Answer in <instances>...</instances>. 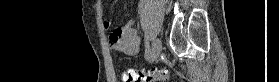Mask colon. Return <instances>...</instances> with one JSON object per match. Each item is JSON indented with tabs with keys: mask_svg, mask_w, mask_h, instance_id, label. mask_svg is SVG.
<instances>
[{
	"mask_svg": "<svg viewBox=\"0 0 279 82\" xmlns=\"http://www.w3.org/2000/svg\"><path fill=\"white\" fill-rule=\"evenodd\" d=\"M166 75V70L129 68L122 72L121 80L122 82H157L164 80Z\"/></svg>",
	"mask_w": 279,
	"mask_h": 82,
	"instance_id": "obj_1",
	"label": "colon"
}]
</instances>
